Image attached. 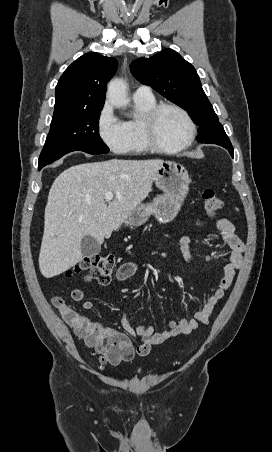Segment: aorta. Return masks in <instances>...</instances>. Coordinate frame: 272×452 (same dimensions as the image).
<instances>
[{
	"label": "aorta",
	"mask_w": 272,
	"mask_h": 452,
	"mask_svg": "<svg viewBox=\"0 0 272 452\" xmlns=\"http://www.w3.org/2000/svg\"><path fill=\"white\" fill-rule=\"evenodd\" d=\"M107 100L118 109H123L127 106V85L122 79L116 78L109 82Z\"/></svg>",
	"instance_id": "obj_1"
}]
</instances>
